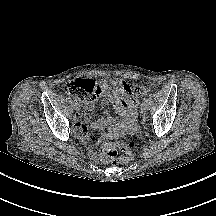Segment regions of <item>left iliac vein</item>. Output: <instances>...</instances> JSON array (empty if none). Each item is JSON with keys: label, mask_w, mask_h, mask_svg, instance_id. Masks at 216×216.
Returning a JSON list of instances; mask_svg holds the SVG:
<instances>
[{"label": "left iliac vein", "mask_w": 216, "mask_h": 216, "mask_svg": "<svg viewBox=\"0 0 216 216\" xmlns=\"http://www.w3.org/2000/svg\"><path fill=\"white\" fill-rule=\"evenodd\" d=\"M147 109H148V104H147V102H143V103L141 104V111H142V113H145Z\"/></svg>", "instance_id": "1"}]
</instances>
